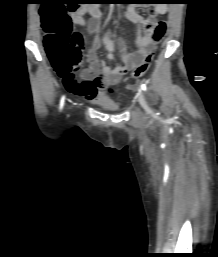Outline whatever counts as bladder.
I'll return each instance as SVG.
<instances>
[{
  "mask_svg": "<svg viewBox=\"0 0 218 257\" xmlns=\"http://www.w3.org/2000/svg\"><path fill=\"white\" fill-rule=\"evenodd\" d=\"M96 106L110 112L118 111L120 108L117 104L111 102L107 98H97L92 101Z\"/></svg>",
  "mask_w": 218,
  "mask_h": 257,
  "instance_id": "bladder-1",
  "label": "bladder"
}]
</instances>
